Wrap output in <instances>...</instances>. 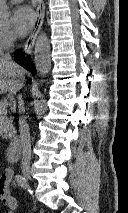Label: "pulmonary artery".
I'll list each match as a JSON object with an SVG mask.
<instances>
[{"mask_svg":"<svg viewBox=\"0 0 128 213\" xmlns=\"http://www.w3.org/2000/svg\"><path fill=\"white\" fill-rule=\"evenodd\" d=\"M12 2H21L23 0H11Z\"/></svg>","mask_w":128,"mask_h":213,"instance_id":"e3ab8cb5","label":"pulmonary artery"}]
</instances>
